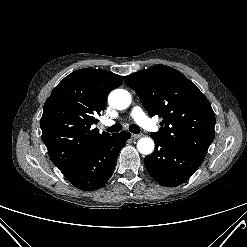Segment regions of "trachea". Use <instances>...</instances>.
I'll return each instance as SVG.
<instances>
[{"mask_svg": "<svg viewBox=\"0 0 247 247\" xmlns=\"http://www.w3.org/2000/svg\"><path fill=\"white\" fill-rule=\"evenodd\" d=\"M106 130L108 132H111V133L119 132L121 130V125L120 124H115V125H113L111 127H108ZM129 130H130V132H132L134 134H139L140 133V128L136 124H131L129 126Z\"/></svg>", "mask_w": 247, "mask_h": 247, "instance_id": "obj_1", "label": "trachea"}]
</instances>
